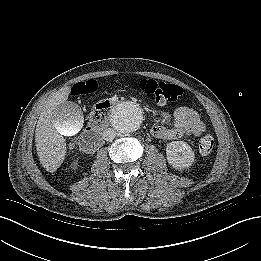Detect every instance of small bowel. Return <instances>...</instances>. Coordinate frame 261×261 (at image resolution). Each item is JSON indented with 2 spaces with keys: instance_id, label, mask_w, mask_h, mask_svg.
Instances as JSON below:
<instances>
[{
  "instance_id": "obj_1",
  "label": "small bowel",
  "mask_w": 261,
  "mask_h": 261,
  "mask_svg": "<svg viewBox=\"0 0 261 261\" xmlns=\"http://www.w3.org/2000/svg\"><path fill=\"white\" fill-rule=\"evenodd\" d=\"M161 118L164 121L173 122L171 128L153 126L151 134L161 139H177L184 136H199L205 130V124L200 114L193 108L182 106L175 109L171 114L162 112Z\"/></svg>"
}]
</instances>
